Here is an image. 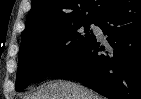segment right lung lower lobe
Segmentation results:
<instances>
[{"instance_id":"obj_1","label":"right lung lower lobe","mask_w":141,"mask_h":99,"mask_svg":"<svg viewBox=\"0 0 141 99\" xmlns=\"http://www.w3.org/2000/svg\"><path fill=\"white\" fill-rule=\"evenodd\" d=\"M95 24V36L73 61L53 77L79 81L110 99H141V0H116Z\"/></svg>"}]
</instances>
